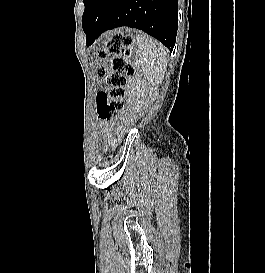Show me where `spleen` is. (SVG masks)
I'll list each match as a JSON object with an SVG mask.
<instances>
[{"instance_id":"1","label":"spleen","mask_w":265,"mask_h":273,"mask_svg":"<svg viewBox=\"0 0 265 273\" xmlns=\"http://www.w3.org/2000/svg\"><path fill=\"white\" fill-rule=\"evenodd\" d=\"M137 44L136 64L141 66L144 77L149 83L161 84L168 63L167 49L147 35L137 36Z\"/></svg>"}]
</instances>
